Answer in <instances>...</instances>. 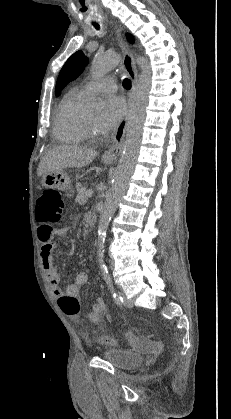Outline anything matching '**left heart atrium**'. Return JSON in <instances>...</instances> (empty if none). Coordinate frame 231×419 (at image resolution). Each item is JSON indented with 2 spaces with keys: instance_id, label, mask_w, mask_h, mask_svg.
I'll return each mask as SVG.
<instances>
[{
  "instance_id": "left-heart-atrium-1",
  "label": "left heart atrium",
  "mask_w": 231,
  "mask_h": 419,
  "mask_svg": "<svg viewBox=\"0 0 231 419\" xmlns=\"http://www.w3.org/2000/svg\"><path fill=\"white\" fill-rule=\"evenodd\" d=\"M125 114V105L122 99L111 96L104 105L102 113L97 120V129L101 132L113 130Z\"/></svg>"
}]
</instances>
